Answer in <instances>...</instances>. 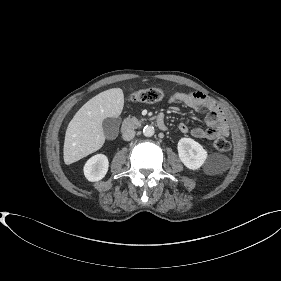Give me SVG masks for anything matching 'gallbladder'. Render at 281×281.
<instances>
[{"label": "gallbladder", "mask_w": 281, "mask_h": 281, "mask_svg": "<svg viewBox=\"0 0 281 281\" xmlns=\"http://www.w3.org/2000/svg\"><path fill=\"white\" fill-rule=\"evenodd\" d=\"M120 118H106L102 123L103 132L106 138H114L119 130Z\"/></svg>", "instance_id": "obj_1"}]
</instances>
